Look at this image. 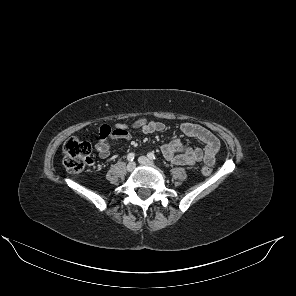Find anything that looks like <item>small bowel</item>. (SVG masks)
<instances>
[{
	"instance_id": "small-bowel-1",
	"label": "small bowel",
	"mask_w": 296,
	"mask_h": 296,
	"mask_svg": "<svg viewBox=\"0 0 296 296\" xmlns=\"http://www.w3.org/2000/svg\"><path fill=\"white\" fill-rule=\"evenodd\" d=\"M165 125L162 122L152 121L141 117L130 123H119L113 126L104 124L100 127L98 141L95 149L101 159L110 156L111 144L115 141H129L133 132L152 134L163 131ZM181 132L191 138L199 140L204 148H191L182 143L180 139H174L160 147L162 155L177 165H194L201 161L205 163L215 162V155L219 149V140L206 128L190 122L182 123Z\"/></svg>"
}]
</instances>
